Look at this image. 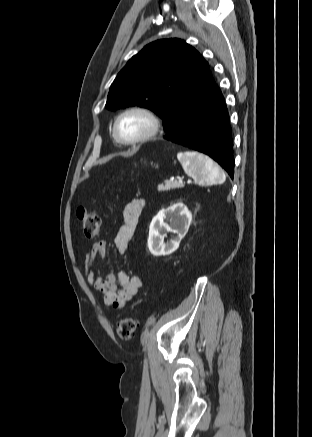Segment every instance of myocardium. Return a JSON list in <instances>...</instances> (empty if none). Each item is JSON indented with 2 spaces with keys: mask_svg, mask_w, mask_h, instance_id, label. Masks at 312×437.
I'll list each match as a JSON object with an SVG mask.
<instances>
[{
  "mask_svg": "<svg viewBox=\"0 0 312 437\" xmlns=\"http://www.w3.org/2000/svg\"><path fill=\"white\" fill-rule=\"evenodd\" d=\"M131 113H140L145 115L151 122V127L149 129V131L136 138V139H132V140H128L125 139L120 131H119V124L120 121L122 120V118L128 114ZM161 129V120L158 117V115L152 111L151 109L144 107V106H131L128 107L126 109H124L122 112H120L118 114V116L116 117L115 121H114V125H113V132L115 137L117 138V140L124 145H138V144H142L144 142H147L149 140H151L152 138H154L160 131Z\"/></svg>",
  "mask_w": 312,
  "mask_h": 437,
  "instance_id": "f54148a6",
  "label": "myocardium"
}]
</instances>
